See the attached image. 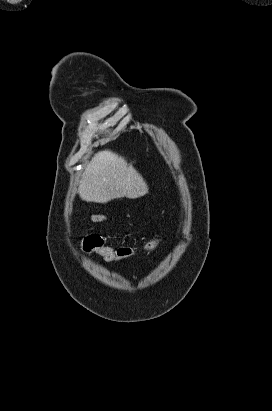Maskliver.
<instances>
[{
  "instance_id": "liver-1",
  "label": "liver",
  "mask_w": 272,
  "mask_h": 411,
  "mask_svg": "<svg viewBox=\"0 0 272 411\" xmlns=\"http://www.w3.org/2000/svg\"><path fill=\"white\" fill-rule=\"evenodd\" d=\"M78 192L86 202L107 203L122 197H142L148 193V186L131 163L105 150L95 154L87 165Z\"/></svg>"
}]
</instances>
